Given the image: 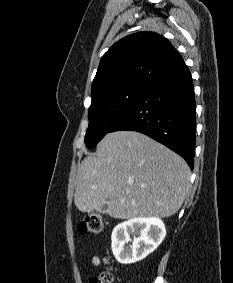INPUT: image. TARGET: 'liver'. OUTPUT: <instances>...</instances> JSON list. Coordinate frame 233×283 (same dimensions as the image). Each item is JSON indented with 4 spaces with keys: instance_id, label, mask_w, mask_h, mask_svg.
I'll use <instances>...</instances> for the list:
<instances>
[{
    "instance_id": "liver-1",
    "label": "liver",
    "mask_w": 233,
    "mask_h": 283,
    "mask_svg": "<svg viewBox=\"0 0 233 283\" xmlns=\"http://www.w3.org/2000/svg\"><path fill=\"white\" fill-rule=\"evenodd\" d=\"M186 161L135 131L108 133L78 169L74 202L81 212L106 206L112 218H167L190 187Z\"/></svg>"
}]
</instances>
